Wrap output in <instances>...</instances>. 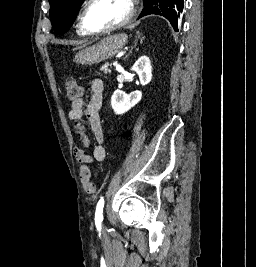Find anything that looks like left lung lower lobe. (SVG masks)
Listing matches in <instances>:
<instances>
[{"instance_id":"left-lung-lower-lobe-1","label":"left lung lower lobe","mask_w":256,"mask_h":267,"mask_svg":"<svg viewBox=\"0 0 256 267\" xmlns=\"http://www.w3.org/2000/svg\"><path fill=\"white\" fill-rule=\"evenodd\" d=\"M183 6H184V2L183 0H174V19L173 22L171 23V25L173 26L175 31H178V27H177V23H178V16H179V12H182L183 10Z\"/></svg>"}]
</instances>
